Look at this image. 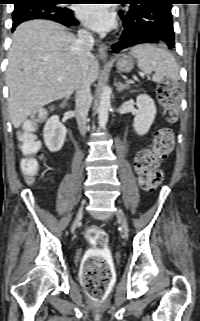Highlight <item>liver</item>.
Masks as SVG:
<instances>
[{
  "label": "liver",
  "instance_id": "liver-1",
  "mask_svg": "<svg viewBox=\"0 0 200 321\" xmlns=\"http://www.w3.org/2000/svg\"><path fill=\"white\" fill-rule=\"evenodd\" d=\"M75 41L64 26L52 21L31 20L17 27L6 71L8 110L15 128L36 110L72 95L79 71ZM98 74V62L90 54L87 71L90 83L96 81Z\"/></svg>",
  "mask_w": 200,
  "mask_h": 321
}]
</instances>
